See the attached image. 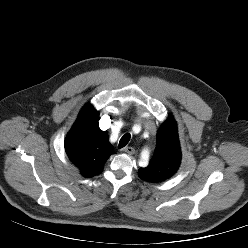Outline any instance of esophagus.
<instances>
[{
  "label": "esophagus",
  "mask_w": 248,
  "mask_h": 248,
  "mask_svg": "<svg viewBox=\"0 0 248 248\" xmlns=\"http://www.w3.org/2000/svg\"><path fill=\"white\" fill-rule=\"evenodd\" d=\"M123 151H124L125 153L129 154V155H132V154H134V152H135L134 148H133V147H130V146L125 147V148L123 149Z\"/></svg>",
  "instance_id": "esophagus-1"
}]
</instances>
